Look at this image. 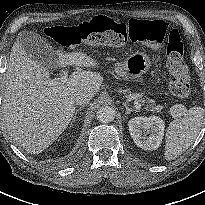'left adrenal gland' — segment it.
Masks as SVG:
<instances>
[{
  "label": "left adrenal gland",
  "instance_id": "a2214340",
  "mask_svg": "<svg viewBox=\"0 0 205 205\" xmlns=\"http://www.w3.org/2000/svg\"><path fill=\"white\" fill-rule=\"evenodd\" d=\"M124 107L126 108V114H130L131 112H139L138 110L131 109L126 103H124Z\"/></svg>",
  "mask_w": 205,
  "mask_h": 205
}]
</instances>
